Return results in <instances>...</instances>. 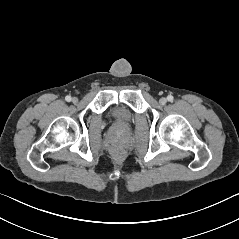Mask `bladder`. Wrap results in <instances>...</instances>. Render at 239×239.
Listing matches in <instances>:
<instances>
[{"label":"bladder","mask_w":239,"mask_h":239,"mask_svg":"<svg viewBox=\"0 0 239 239\" xmlns=\"http://www.w3.org/2000/svg\"><path fill=\"white\" fill-rule=\"evenodd\" d=\"M111 116L120 126H125L129 123V115L122 107L116 106L112 108Z\"/></svg>","instance_id":"bladder-1"}]
</instances>
